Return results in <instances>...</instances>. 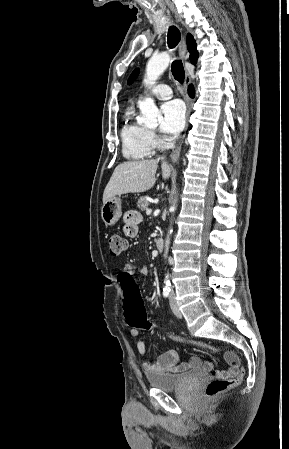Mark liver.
<instances>
[{
  "mask_svg": "<svg viewBox=\"0 0 289 449\" xmlns=\"http://www.w3.org/2000/svg\"><path fill=\"white\" fill-rule=\"evenodd\" d=\"M158 162V159H149L119 164L104 190L103 203L117 195L145 192L151 189L155 184ZM161 169L163 179H168L171 169L165 161L162 162Z\"/></svg>",
  "mask_w": 289,
  "mask_h": 449,
  "instance_id": "6515ba94",
  "label": "liver"
}]
</instances>
